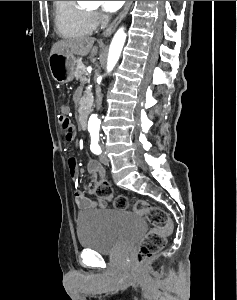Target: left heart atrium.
Returning <instances> with one entry per match:
<instances>
[{
    "label": "left heart atrium",
    "mask_w": 237,
    "mask_h": 300,
    "mask_svg": "<svg viewBox=\"0 0 237 300\" xmlns=\"http://www.w3.org/2000/svg\"><path fill=\"white\" fill-rule=\"evenodd\" d=\"M125 1H103L102 8L107 13H113L119 10Z\"/></svg>",
    "instance_id": "39dd6f15"
}]
</instances>
